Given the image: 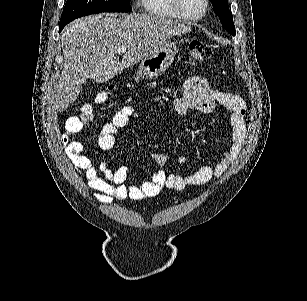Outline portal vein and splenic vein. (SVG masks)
<instances>
[{"instance_id": "portal-vein-and-splenic-vein-1", "label": "portal vein and splenic vein", "mask_w": 307, "mask_h": 301, "mask_svg": "<svg viewBox=\"0 0 307 301\" xmlns=\"http://www.w3.org/2000/svg\"><path fill=\"white\" fill-rule=\"evenodd\" d=\"M117 52H126L127 46H120V48H116Z\"/></svg>"}]
</instances>
